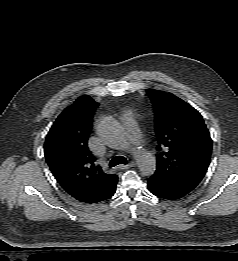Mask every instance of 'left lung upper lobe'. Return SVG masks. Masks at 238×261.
Listing matches in <instances>:
<instances>
[{
	"instance_id": "left-lung-upper-lobe-1",
	"label": "left lung upper lobe",
	"mask_w": 238,
	"mask_h": 261,
	"mask_svg": "<svg viewBox=\"0 0 238 261\" xmlns=\"http://www.w3.org/2000/svg\"><path fill=\"white\" fill-rule=\"evenodd\" d=\"M154 107L158 137L155 176L191 192L210 164L212 140L201 114L177 96L148 91Z\"/></svg>"
}]
</instances>
